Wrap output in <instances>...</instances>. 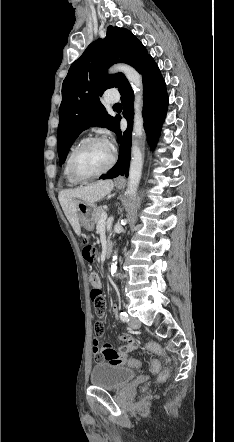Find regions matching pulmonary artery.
I'll list each match as a JSON object with an SVG mask.
<instances>
[{
  "mask_svg": "<svg viewBox=\"0 0 234 442\" xmlns=\"http://www.w3.org/2000/svg\"><path fill=\"white\" fill-rule=\"evenodd\" d=\"M118 100H119V97L116 94H110L105 98V101L108 104L116 103Z\"/></svg>",
  "mask_w": 234,
  "mask_h": 442,
  "instance_id": "1",
  "label": "pulmonary artery"
}]
</instances>
